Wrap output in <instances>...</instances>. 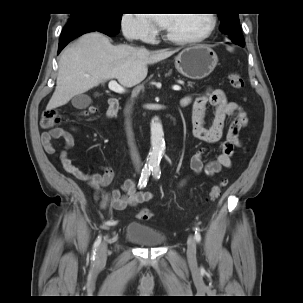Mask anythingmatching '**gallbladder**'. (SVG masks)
<instances>
[{
	"instance_id": "1",
	"label": "gallbladder",
	"mask_w": 303,
	"mask_h": 303,
	"mask_svg": "<svg viewBox=\"0 0 303 303\" xmlns=\"http://www.w3.org/2000/svg\"><path fill=\"white\" fill-rule=\"evenodd\" d=\"M72 105L77 109H85L91 103V98L86 94H79L72 98Z\"/></svg>"
}]
</instances>
